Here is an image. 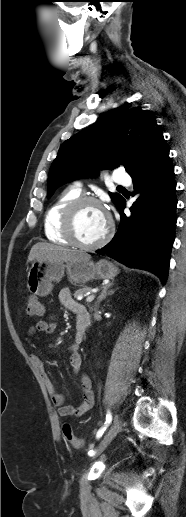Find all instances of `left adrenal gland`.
<instances>
[{
	"instance_id": "1",
	"label": "left adrenal gland",
	"mask_w": 186,
	"mask_h": 517,
	"mask_svg": "<svg viewBox=\"0 0 186 517\" xmlns=\"http://www.w3.org/2000/svg\"><path fill=\"white\" fill-rule=\"evenodd\" d=\"M113 285V282L109 283L105 287H103L102 292L97 298L96 306L100 304L101 301H103L107 296L114 294L115 290H108Z\"/></svg>"
}]
</instances>
